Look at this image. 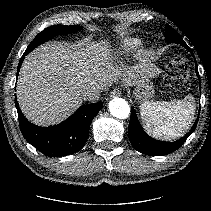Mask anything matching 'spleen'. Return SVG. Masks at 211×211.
Returning <instances> with one entry per match:
<instances>
[{
    "label": "spleen",
    "instance_id": "obj_1",
    "mask_svg": "<svg viewBox=\"0 0 211 211\" xmlns=\"http://www.w3.org/2000/svg\"><path fill=\"white\" fill-rule=\"evenodd\" d=\"M195 114L192 95L173 101H145L140 105V116L146 131L165 141L182 137L190 128Z\"/></svg>",
    "mask_w": 211,
    "mask_h": 211
}]
</instances>
